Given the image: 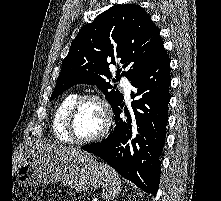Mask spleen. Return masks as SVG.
Returning <instances> with one entry per match:
<instances>
[{
    "instance_id": "1",
    "label": "spleen",
    "mask_w": 221,
    "mask_h": 201,
    "mask_svg": "<svg viewBox=\"0 0 221 201\" xmlns=\"http://www.w3.org/2000/svg\"><path fill=\"white\" fill-rule=\"evenodd\" d=\"M106 175V184L103 186L102 196L105 200L115 198L121 191V180L117 172L105 163H100Z\"/></svg>"
}]
</instances>
